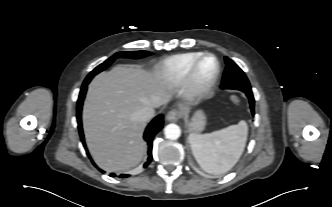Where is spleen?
Listing matches in <instances>:
<instances>
[{"instance_id":"spleen-1","label":"spleen","mask_w":332,"mask_h":207,"mask_svg":"<svg viewBox=\"0 0 332 207\" xmlns=\"http://www.w3.org/2000/svg\"><path fill=\"white\" fill-rule=\"evenodd\" d=\"M247 134V123L242 120L236 125L211 133H191L188 140L196 161L204 171L223 174L240 159Z\"/></svg>"}]
</instances>
